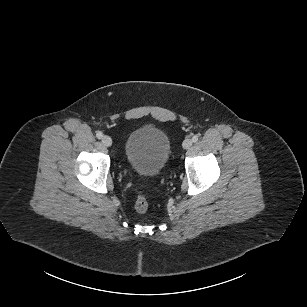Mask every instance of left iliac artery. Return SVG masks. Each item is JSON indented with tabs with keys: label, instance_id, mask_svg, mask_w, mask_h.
Masks as SVG:
<instances>
[{
	"label": "left iliac artery",
	"instance_id": "left-iliac-artery-1",
	"mask_svg": "<svg viewBox=\"0 0 307 307\" xmlns=\"http://www.w3.org/2000/svg\"><path fill=\"white\" fill-rule=\"evenodd\" d=\"M192 141H193V142H197V141H198V136H197V135L193 136V137H192Z\"/></svg>",
	"mask_w": 307,
	"mask_h": 307
}]
</instances>
